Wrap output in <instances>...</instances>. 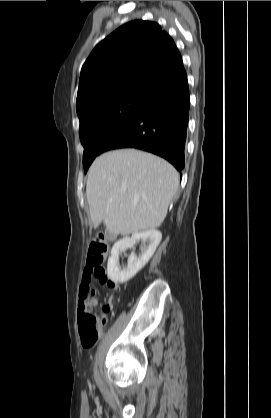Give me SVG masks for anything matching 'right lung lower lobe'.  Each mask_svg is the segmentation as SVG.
I'll return each instance as SVG.
<instances>
[{
    "mask_svg": "<svg viewBox=\"0 0 271 418\" xmlns=\"http://www.w3.org/2000/svg\"><path fill=\"white\" fill-rule=\"evenodd\" d=\"M189 108V88L184 72L114 131L102 145L100 154L118 148H137L165 158L182 171Z\"/></svg>",
    "mask_w": 271,
    "mask_h": 418,
    "instance_id": "98d812e1",
    "label": "right lung lower lobe"
}]
</instances>
